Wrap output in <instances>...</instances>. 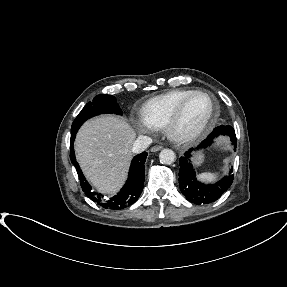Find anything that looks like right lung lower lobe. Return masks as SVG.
Wrapping results in <instances>:
<instances>
[{"instance_id":"98d812e1","label":"right lung lower lobe","mask_w":287,"mask_h":287,"mask_svg":"<svg viewBox=\"0 0 287 287\" xmlns=\"http://www.w3.org/2000/svg\"><path fill=\"white\" fill-rule=\"evenodd\" d=\"M75 135H71L70 141V159L72 164L76 167L78 177L80 180L81 187L85 194L93 201L97 202L98 205L102 206L105 209L110 210H120L126 208L137 201L140 194L142 193L144 178H145V160L147 153L143 152L135 156L131 162L128 179L125 185L122 187L120 192L110 198H104L102 194H98L91 190V186L85 179L79 164L76 161L73 142Z\"/></svg>"}]
</instances>
